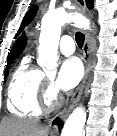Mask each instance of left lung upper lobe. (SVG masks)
<instances>
[{"mask_svg":"<svg viewBox=\"0 0 117 136\" xmlns=\"http://www.w3.org/2000/svg\"><path fill=\"white\" fill-rule=\"evenodd\" d=\"M93 3L94 1L93 0H86V4H87V7L89 9H92L93 7ZM38 10V7L36 5H34L33 7H31L29 9V11L26 13L23 21H22V24H21V27L17 33V35L22 31V29L28 24L30 23V21L33 19V17L35 16L36 14V11Z\"/></svg>","mask_w":117,"mask_h":136,"instance_id":"left-lung-upper-lobe-1","label":"left lung upper lobe"}]
</instances>
